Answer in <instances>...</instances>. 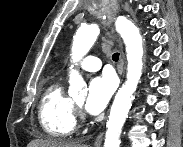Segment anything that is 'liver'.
Wrapping results in <instances>:
<instances>
[{"label":"liver","mask_w":183,"mask_h":147,"mask_svg":"<svg viewBox=\"0 0 183 147\" xmlns=\"http://www.w3.org/2000/svg\"><path fill=\"white\" fill-rule=\"evenodd\" d=\"M27 147H85L77 142H67L57 139H36L28 144Z\"/></svg>","instance_id":"6515ba94"}]
</instances>
